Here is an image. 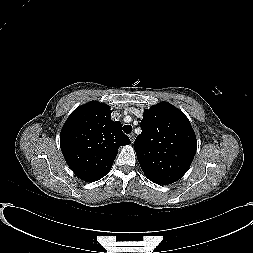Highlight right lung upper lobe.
<instances>
[{
    "label": "right lung upper lobe",
    "instance_id": "cb5924a9",
    "mask_svg": "<svg viewBox=\"0 0 253 253\" xmlns=\"http://www.w3.org/2000/svg\"><path fill=\"white\" fill-rule=\"evenodd\" d=\"M106 104L89 102L76 108L66 120L60 147L70 169L82 180L94 182L111 169L118 148L130 144L121 123L111 120Z\"/></svg>",
    "mask_w": 253,
    "mask_h": 253
}]
</instances>
